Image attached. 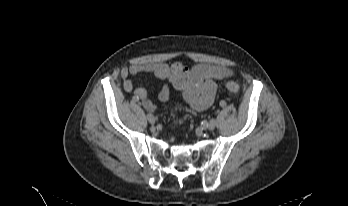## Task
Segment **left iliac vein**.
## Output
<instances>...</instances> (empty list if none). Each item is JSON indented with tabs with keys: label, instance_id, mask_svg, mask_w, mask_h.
I'll list each match as a JSON object with an SVG mask.
<instances>
[{
	"label": "left iliac vein",
	"instance_id": "left-iliac-vein-1",
	"mask_svg": "<svg viewBox=\"0 0 348 206\" xmlns=\"http://www.w3.org/2000/svg\"><path fill=\"white\" fill-rule=\"evenodd\" d=\"M216 124H217L216 120H215V119H211V120L209 121L208 125H207V128H208L209 130H213V129H215Z\"/></svg>",
	"mask_w": 348,
	"mask_h": 206
}]
</instances>
